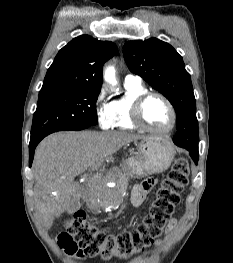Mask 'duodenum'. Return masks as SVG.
<instances>
[{
	"instance_id": "obj_1",
	"label": "duodenum",
	"mask_w": 233,
	"mask_h": 263,
	"mask_svg": "<svg viewBox=\"0 0 233 263\" xmlns=\"http://www.w3.org/2000/svg\"><path fill=\"white\" fill-rule=\"evenodd\" d=\"M87 207L91 210L97 208V202L94 197H88L87 198Z\"/></svg>"
}]
</instances>
